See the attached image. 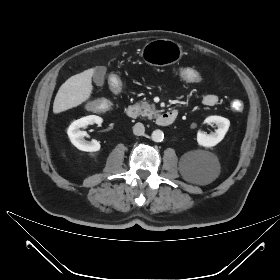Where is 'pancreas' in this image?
I'll list each match as a JSON object with an SVG mask.
<instances>
[{
	"instance_id": "1",
	"label": "pancreas",
	"mask_w": 280,
	"mask_h": 280,
	"mask_svg": "<svg viewBox=\"0 0 280 280\" xmlns=\"http://www.w3.org/2000/svg\"><path fill=\"white\" fill-rule=\"evenodd\" d=\"M137 106L141 109L142 116H147L149 119H153L158 116V111H156L154 104H149L148 102H141L138 103Z\"/></svg>"
}]
</instances>
